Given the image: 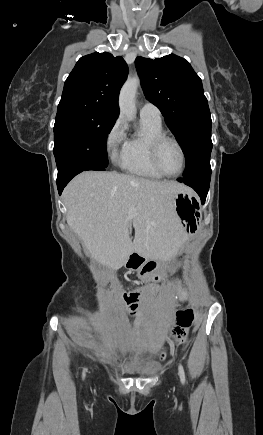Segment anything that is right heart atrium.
Listing matches in <instances>:
<instances>
[{
    "label": "right heart atrium",
    "instance_id": "obj_1",
    "mask_svg": "<svg viewBox=\"0 0 263 435\" xmlns=\"http://www.w3.org/2000/svg\"><path fill=\"white\" fill-rule=\"evenodd\" d=\"M125 142V127L123 121L117 118L109 128L105 139L106 150L113 161L121 159Z\"/></svg>",
    "mask_w": 263,
    "mask_h": 435
}]
</instances>
